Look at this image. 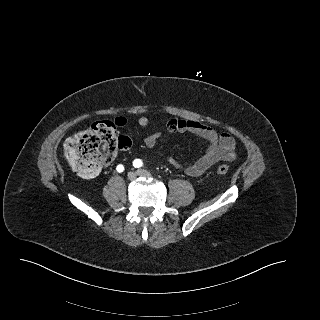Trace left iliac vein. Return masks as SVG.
<instances>
[{
	"label": "left iliac vein",
	"instance_id": "4c4485c4",
	"mask_svg": "<svg viewBox=\"0 0 320 320\" xmlns=\"http://www.w3.org/2000/svg\"><path fill=\"white\" fill-rule=\"evenodd\" d=\"M137 175L138 176H143V177H151V174H150V172H148L147 170H144V169H139V170H137Z\"/></svg>",
	"mask_w": 320,
	"mask_h": 320
}]
</instances>
